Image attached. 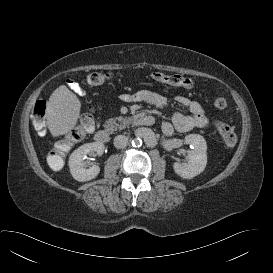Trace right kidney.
<instances>
[{
	"mask_svg": "<svg viewBox=\"0 0 273 273\" xmlns=\"http://www.w3.org/2000/svg\"><path fill=\"white\" fill-rule=\"evenodd\" d=\"M104 144L101 142L86 143L76 149L69 157V168L73 178L79 182L90 181L94 179L100 172L98 165L86 168L85 161L88 153L96 152L102 155L104 152Z\"/></svg>",
	"mask_w": 273,
	"mask_h": 273,
	"instance_id": "right-kidney-1",
	"label": "right kidney"
}]
</instances>
